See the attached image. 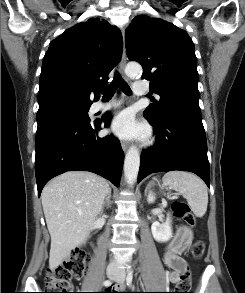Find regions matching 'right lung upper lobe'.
I'll return each instance as SVG.
<instances>
[{
    "label": "right lung upper lobe",
    "instance_id": "obj_1",
    "mask_svg": "<svg viewBox=\"0 0 245 293\" xmlns=\"http://www.w3.org/2000/svg\"><path fill=\"white\" fill-rule=\"evenodd\" d=\"M122 34L106 20L76 24L50 43L40 75L39 108L54 104L91 105L96 88L120 61Z\"/></svg>",
    "mask_w": 245,
    "mask_h": 293
}]
</instances>
